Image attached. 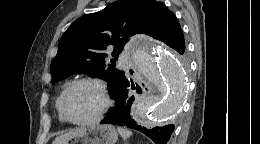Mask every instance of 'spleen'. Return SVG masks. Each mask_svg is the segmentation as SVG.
Masks as SVG:
<instances>
[{
  "label": "spleen",
  "instance_id": "obj_1",
  "mask_svg": "<svg viewBox=\"0 0 260 144\" xmlns=\"http://www.w3.org/2000/svg\"><path fill=\"white\" fill-rule=\"evenodd\" d=\"M117 130L124 141H126L132 135V132L126 128L118 127Z\"/></svg>",
  "mask_w": 260,
  "mask_h": 144
}]
</instances>
